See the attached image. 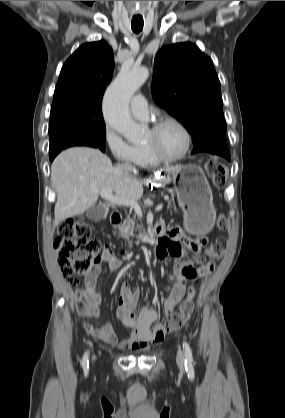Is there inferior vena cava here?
<instances>
[{
	"label": "inferior vena cava",
	"instance_id": "1",
	"mask_svg": "<svg viewBox=\"0 0 285 418\" xmlns=\"http://www.w3.org/2000/svg\"><path fill=\"white\" fill-rule=\"evenodd\" d=\"M125 167H126L127 169H129V170H133L132 166H130V165H128V164H126V165H125Z\"/></svg>",
	"mask_w": 285,
	"mask_h": 418
}]
</instances>
